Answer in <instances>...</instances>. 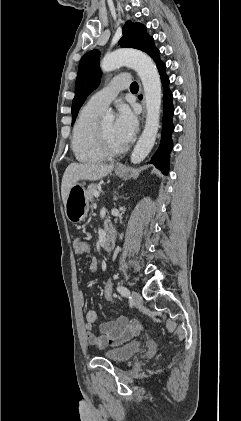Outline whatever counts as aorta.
<instances>
[{
	"mask_svg": "<svg viewBox=\"0 0 241 421\" xmlns=\"http://www.w3.org/2000/svg\"><path fill=\"white\" fill-rule=\"evenodd\" d=\"M122 65L130 66L137 72L144 88L146 123L130 157L133 164H138L146 158L155 144L161 111V81L152 59L136 49H119L106 55L101 62V69L103 72H110ZM104 120L113 121V116L106 115Z\"/></svg>",
	"mask_w": 241,
	"mask_h": 421,
	"instance_id": "1",
	"label": "aorta"
}]
</instances>
